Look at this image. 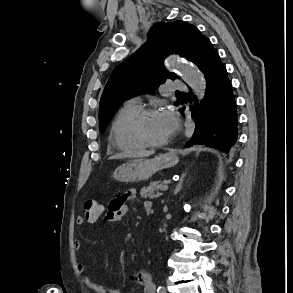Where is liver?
Segmentation results:
<instances>
[{
    "label": "liver",
    "mask_w": 293,
    "mask_h": 293,
    "mask_svg": "<svg viewBox=\"0 0 293 293\" xmlns=\"http://www.w3.org/2000/svg\"><path fill=\"white\" fill-rule=\"evenodd\" d=\"M154 152L153 151H142L140 153L137 154L138 157H146V156H150L152 155ZM125 157L124 154H115L113 156H111L109 159H121Z\"/></svg>",
    "instance_id": "obj_1"
}]
</instances>
